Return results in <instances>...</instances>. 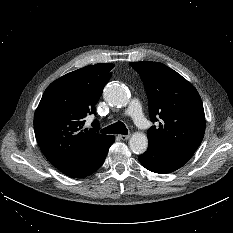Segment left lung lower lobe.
<instances>
[{"mask_svg": "<svg viewBox=\"0 0 233 233\" xmlns=\"http://www.w3.org/2000/svg\"><path fill=\"white\" fill-rule=\"evenodd\" d=\"M193 153L190 149L159 146L149 141L147 151L139 155L138 159L146 169L165 174L182 167Z\"/></svg>", "mask_w": 233, "mask_h": 233, "instance_id": "0a47b994", "label": "left lung lower lobe"}]
</instances>
